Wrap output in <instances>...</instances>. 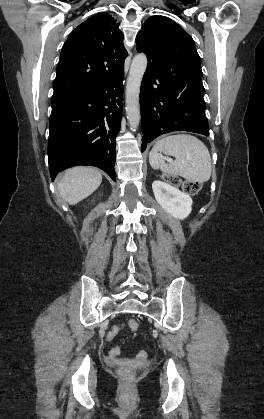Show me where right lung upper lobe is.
Wrapping results in <instances>:
<instances>
[{
    "label": "right lung upper lobe",
    "instance_id": "obj_1",
    "mask_svg": "<svg viewBox=\"0 0 264 419\" xmlns=\"http://www.w3.org/2000/svg\"><path fill=\"white\" fill-rule=\"evenodd\" d=\"M127 55L119 23L105 12L90 17L62 47L53 96L105 84L123 72Z\"/></svg>",
    "mask_w": 264,
    "mask_h": 419
}]
</instances>
